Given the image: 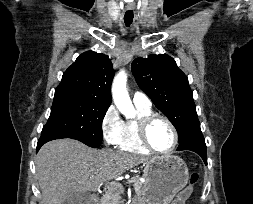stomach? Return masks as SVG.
Returning <instances> with one entry per match:
<instances>
[{
    "label": "stomach",
    "mask_w": 253,
    "mask_h": 204,
    "mask_svg": "<svg viewBox=\"0 0 253 204\" xmlns=\"http://www.w3.org/2000/svg\"><path fill=\"white\" fill-rule=\"evenodd\" d=\"M143 172L145 183L140 197L145 204H170L189 179L186 163L175 155L149 160Z\"/></svg>",
    "instance_id": "1"
}]
</instances>
